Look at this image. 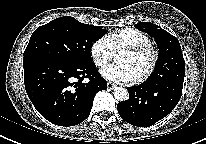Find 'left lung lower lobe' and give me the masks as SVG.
<instances>
[{
    "instance_id": "0a47b994",
    "label": "left lung lower lobe",
    "mask_w": 206,
    "mask_h": 144,
    "mask_svg": "<svg viewBox=\"0 0 206 144\" xmlns=\"http://www.w3.org/2000/svg\"><path fill=\"white\" fill-rule=\"evenodd\" d=\"M185 69H175L158 83H143L127 88L129 99L119 102L117 110L127 123L148 127L167 116L181 98Z\"/></svg>"
}]
</instances>
